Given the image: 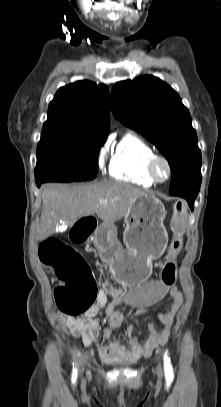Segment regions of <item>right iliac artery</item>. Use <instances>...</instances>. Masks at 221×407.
I'll list each match as a JSON object with an SVG mask.
<instances>
[{"label":"right iliac artery","instance_id":"1","mask_svg":"<svg viewBox=\"0 0 221 407\" xmlns=\"http://www.w3.org/2000/svg\"><path fill=\"white\" fill-rule=\"evenodd\" d=\"M76 377H77V369H74V370H73L72 378H73V379H76Z\"/></svg>","mask_w":221,"mask_h":407}]
</instances>
